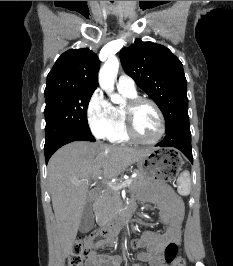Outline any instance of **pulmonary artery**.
I'll return each mask as SVG.
<instances>
[{"label": "pulmonary artery", "instance_id": "obj_1", "mask_svg": "<svg viewBox=\"0 0 233 266\" xmlns=\"http://www.w3.org/2000/svg\"><path fill=\"white\" fill-rule=\"evenodd\" d=\"M117 87L118 89L123 90L128 93L136 92L134 80L130 76L125 75V74L119 77L118 82H117Z\"/></svg>", "mask_w": 233, "mask_h": 266}]
</instances>
